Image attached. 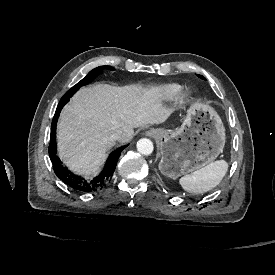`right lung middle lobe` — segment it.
<instances>
[{"mask_svg":"<svg viewBox=\"0 0 275 275\" xmlns=\"http://www.w3.org/2000/svg\"><path fill=\"white\" fill-rule=\"evenodd\" d=\"M104 68L113 70V68L110 66H100L93 69L80 82H78L75 86H73L70 90H68L65 93V95L61 98V100L70 99V97H72L81 86H84L89 82H91L98 74H100V72Z\"/></svg>","mask_w":275,"mask_h":275,"instance_id":"right-lung-middle-lobe-1","label":"right lung middle lobe"}]
</instances>
